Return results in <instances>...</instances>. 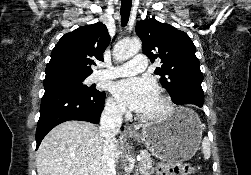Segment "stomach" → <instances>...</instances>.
<instances>
[{
    "label": "stomach",
    "mask_w": 251,
    "mask_h": 175,
    "mask_svg": "<svg viewBox=\"0 0 251 175\" xmlns=\"http://www.w3.org/2000/svg\"><path fill=\"white\" fill-rule=\"evenodd\" d=\"M199 115L188 107H176L163 121L144 123L138 141L162 161H186L195 155L202 139Z\"/></svg>",
    "instance_id": "obj_1"
}]
</instances>
